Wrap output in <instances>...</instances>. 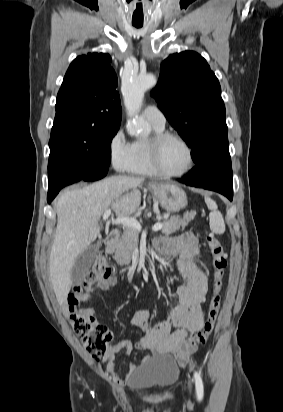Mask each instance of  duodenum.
<instances>
[{
    "instance_id": "obj_1",
    "label": "duodenum",
    "mask_w": 283,
    "mask_h": 412,
    "mask_svg": "<svg viewBox=\"0 0 283 412\" xmlns=\"http://www.w3.org/2000/svg\"><path fill=\"white\" fill-rule=\"evenodd\" d=\"M118 236H119V230L111 229L105 240L106 246L111 248L116 243Z\"/></svg>"
}]
</instances>
